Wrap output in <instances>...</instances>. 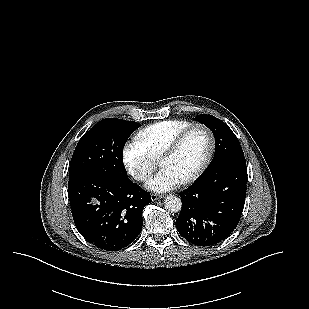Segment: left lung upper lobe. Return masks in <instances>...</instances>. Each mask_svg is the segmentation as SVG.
<instances>
[{"label": "left lung upper lobe", "mask_w": 309, "mask_h": 309, "mask_svg": "<svg viewBox=\"0 0 309 309\" xmlns=\"http://www.w3.org/2000/svg\"><path fill=\"white\" fill-rule=\"evenodd\" d=\"M195 120L206 125L212 131L215 138L214 158L207 169L227 159L244 156L237 137L223 121L206 114L197 115Z\"/></svg>", "instance_id": "left-lung-upper-lobe-1"}]
</instances>
